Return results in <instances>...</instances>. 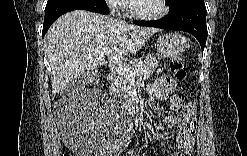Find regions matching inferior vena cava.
I'll return each mask as SVG.
<instances>
[{
	"instance_id": "602c4592",
	"label": "inferior vena cava",
	"mask_w": 247,
	"mask_h": 156,
	"mask_svg": "<svg viewBox=\"0 0 247 156\" xmlns=\"http://www.w3.org/2000/svg\"><path fill=\"white\" fill-rule=\"evenodd\" d=\"M112 16L117 15V17L120 18V13L118 11V3H114L113 5H111V11H110Z\"/></svg>"
}]
</instances>
